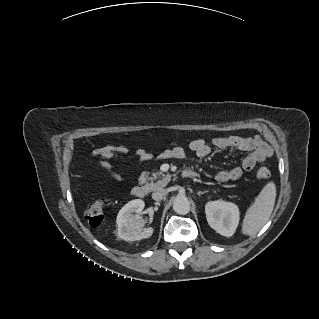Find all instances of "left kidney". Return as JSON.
<instances>
[{
    "label": "left kidney",
    "mask_w": 319,
    "mask_h": 319,
    "mask_svg": "<svg viewBox=\"0 0 319 319\" xmlns=\"http://www.w3.org/2000/svg\"><path fill=\"white\" fill-rule=\"evenodd\" d=\"M206 219L219 234L232 236L239 224L240 212L236 204L224 200L209 201L205 205Z\"/></svg>",
    "instance_id": "obj_1"
}]
</instances>
